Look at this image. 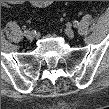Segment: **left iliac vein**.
Listing matches in <instances>:
<instances>
[{
	"mask_svg": "<svg viewBox=\"0 0 109 109\" xmlns=\"http://www.w3.org/2000/svg\"><path fill=\"white\" fill-rule=\"evenodd\" d=\"M65 34L69 37V38H73L74 37V31L71 27H67L65 29Z\"/></svg>",
	"mask_w": 109,
	"mask_h": 109,
	"instance_id": "obj_1",
	"label": "left iliac vein"
}]
</instances>
